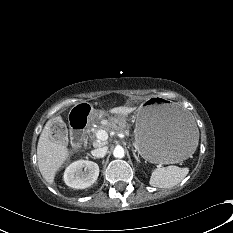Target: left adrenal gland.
Wrapping results in <instances>:
<instances>
[{"label": "left adrenal gland", "instance_id": "left-adrenal-gland-1", "mask_svg": "<svg viewBox=\"0 0 233 233\" xmlns=\"http://www.w3.org/2000/svg\"><path fill=\"white\" fill-rule=\"evenodd\" d=\"M134 157L136 158L137 161H139L138 157L136 156L135 152H133Z\"/></svg>", "mask_w": 233, "mask_h": 233}]
</instances>
